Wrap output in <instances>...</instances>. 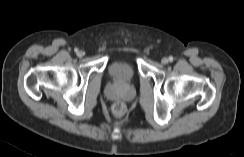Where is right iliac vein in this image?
Wrapping results in <instances>:
<instances>
[{"instance_id":"1","label":"right iliac vein","mask_w":244,"mask_h":157,"mask_svg":"<svg viewBox=\"0 0 244 157\" xmlns=\"http://www.w3.org/2000/svg\"><path fill=\"white\" fill-rule=\"evenodd\" d=\"M84 55V52L83 51H79L78 53H77V56L78 57H82Z\"/></svg>"}]
</instances>
